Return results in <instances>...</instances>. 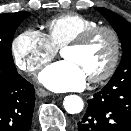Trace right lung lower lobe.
Listing matches in <instances>:
<instances>
[{"label":"right lung lower lobe","mask_w":131,"mask_h":131,"mask_svg":"<svg viewBox=\"0 0 131 131\" xmlns=\"http://www.w3.org/2000/svg\"><path fill=\"white\" fill-rule=\"evenodd\" d=\"M35 104V90L14 64L0 62V131H28Z\"/></svg>","instance_id":"right-lung-lower-lobe-1"}]
</instances>
